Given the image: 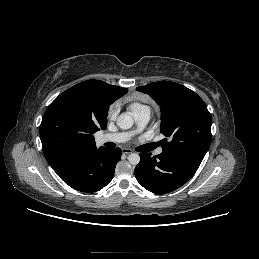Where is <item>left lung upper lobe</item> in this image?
I'll use <instances>...</instances> for the list:
<instances>
[{"label":"left lung upper lobe","mask_w":259,"mask_h":259,"mask_svg":"<svg viewBox=\"0 0 259 259\" xmlns=\"http://www.w3.org/2000/svg\"><path fill=\"white\" fill-rule=\"evenodd\" d=\"M136 90L150 95L161 106V132L172 139L162 140L163 151L204 158L212 140V118L204 101L187 87L170 81Z\"/></svg>","instance_id":"left-lung-upper-lobe-1"}]
</instances>
